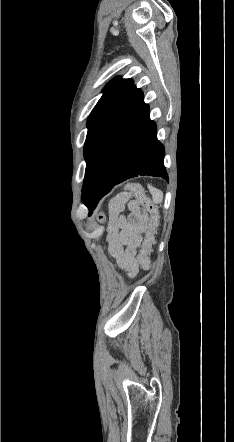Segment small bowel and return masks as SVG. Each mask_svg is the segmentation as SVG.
<instances>
[{"instance_id":"small-bowel-1","label":"small bowel","mask_w":234,"mask_h":442,"mask_svg":"<svg viewBox=\"0 0 234 442\" xmlns=\"http://www.w3.org/2000/svg\"><path fill=\"white\" fill-rule=\"evenodd\" d=\"M127 208L128 215H123ZM145 213L136 200L116 196L109 204L107 250L118 266L130 277L139 271L137 247L145 228Z\"/></svg>"}]
</instances>
